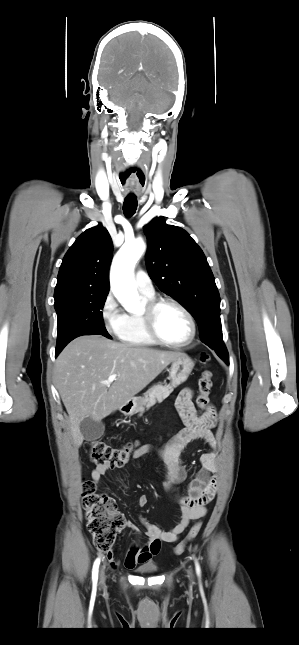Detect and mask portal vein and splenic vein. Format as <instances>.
<instances>
[{
    "mask_svg": "<svg viewBox=\"0 0 299 645\" xmlns=\"http://www.w3.org/2000/svg\"><path fill=\"white\" fill-rule=\"evenodd\" d=\"M116 377H117V375H116V374H112V375H110V376L108 377V379H107L106 381H104V384H106V385H110V384H111V383L116 379Z\"/></svg>",
    "mask_w": 299,
    "mask_h": 645,
    "instance_id": "18ae733b",
    "label": "portal vein and splenic vein"
}]
</instances>
